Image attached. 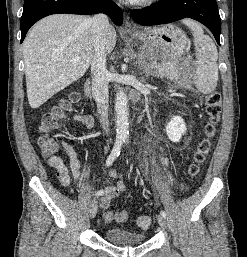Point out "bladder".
Here are the masks:
<instances>
[{"mask_svg": "<svg viewBox=\"0 0 247 257\" xmlns=\"http://www.w3.org/2000/svg\"><path fill=\"white\" fill-rule=\"evenodd\" d=\"M104 237L111 244L119 246L138 245L146 241L145 234L118 227L106 229Z\"/></svg>", "mask_w": 247, "mask_h": 257, "instance_id": "obj_1", "label": "bladder"}]
</instances>
